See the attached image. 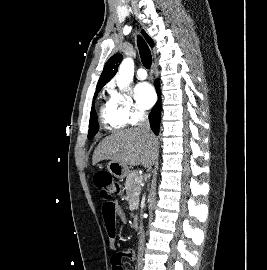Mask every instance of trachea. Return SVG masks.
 Listing matches in <instances>:
<instances>
[{"mask_svg": "<svg viewBox=\"0 0 267 270\" xmlns=\"http://www.w3.org/2000/svg\"><path fill=\"white\" fill-rule=\"evenodd\" d=\"M137 42H138V48L140 52L141 61L145 68L150 69L151 64H152V56H151L150 49L148 48L147 44L140 36H138Z\"/></svg>", "mask_w": 267, "mask_h": 270, "instance_id": "obj_1", "label": "trachea"}]
</instances>
